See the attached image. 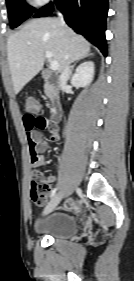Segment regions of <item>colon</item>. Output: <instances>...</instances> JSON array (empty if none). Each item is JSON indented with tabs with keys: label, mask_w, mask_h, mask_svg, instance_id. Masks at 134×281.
<instances>
[{
	"label": "colon",
	"mask_w": 134,
	"mask_h": 281,
	"mask_svg": "<svg viewBox=\"0 0 134 281\" xmlns=\"http://www.w3.org/2000/svg\"><path fill=\"white\" fill-rule=\"evenodd\" d=\"M26 109L29 112H37L39 110V103L34 98H28L26 101ZM50 192V184L43 178L40 172H35L30 183V197L31 200L42 205L45 203ZM66 206L70 209L81 211L80 205L75 201H68Z\"/></svg>",
	"instance_id": "5ec220e1"
}]
</instances>
